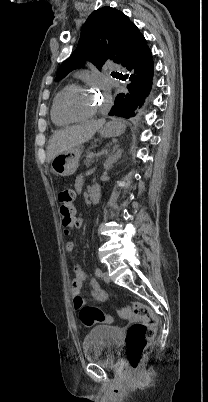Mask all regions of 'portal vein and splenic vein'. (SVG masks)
<instances>
[{
    "instance_id": "portal-vein-and-splenic-vein-1",
    "label": "portal vein and splenic vein",
    "mask_w": 208,
    "mask_h": 402,
    "mask_svg": "<svg viewBox=\"0 0 208 402\" xmlns=\"http://www.w3.org/2000/svg\"><path fill=\"white\" fill-rule=\"evenodd\" d=\"M104 154H105V155H108V154H110V151L105 150V151H104ZM104 154H103V153H100V154H98V153H92V154H90V155H87V156H86V159H87L86 164H87V165L95 164V163H96V159H99V157H100V158H103V157H104Z\"/></svg>"
}]
</instances>
